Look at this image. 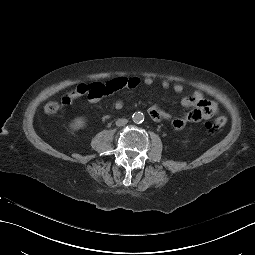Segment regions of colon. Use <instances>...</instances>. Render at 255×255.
<instances>
[{"label": "colon", "mask_w": 255, "mask_h": 255, "mask_svg": "<svg viewBox=\"0 0 255 255\" xmlns=\"http://www.w3.org/2000/svg\"><path fill=\"white\" fill-rule=\"evenodd\" d=\"M60 104L57 101H49L45 105V112L47 114H55L59 111ZM227 119L225 116H218L214 120L209 121L206 123V129L209 133H216L219 132L225 125H226Z\"/></svg>", "instance_id": "colon-1"}]
</instances>
